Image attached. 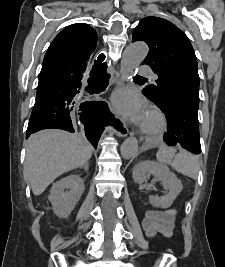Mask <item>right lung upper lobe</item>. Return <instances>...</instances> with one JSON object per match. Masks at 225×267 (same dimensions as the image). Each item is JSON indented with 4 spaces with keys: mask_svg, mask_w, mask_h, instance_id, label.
Returning <instances> with one entry per match:
<instances>
[{
    "mask_svg": "<svg viewBox=\"0 0 225 267\" xmlns=\"http://www.w3.org/2000/svg\"><path fill=\"white\" fill-rule=\"evenodd\" d=\"M97 34L93 28L85 23L72 24L63 29L53 40L49 49H73L86 51L90 54L96 48ZM100 61L98 64L104 66Z\"/></svg>",
    "mask_w": 225,
    "mask_h": 267,
    "instance_id": "obj_1",
    "label": "right lung upper lobe"
}]
</instances>
